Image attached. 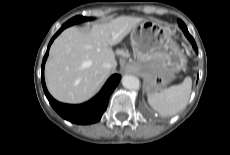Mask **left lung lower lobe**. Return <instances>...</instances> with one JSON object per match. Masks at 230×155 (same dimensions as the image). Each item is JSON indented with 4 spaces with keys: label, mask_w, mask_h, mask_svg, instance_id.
Here are the masks:
<instances>
[{
    "label": "left lung lower lobe",
    "mask_w": 230,
    "mask_h": 155,
    "mask_svg": "<svg viewBox=\"0 0 230 155\" xmlns=\"http://www.w3.org/2000/svg\"><path fill=\"white\" fill-rule=\"evenodd\" d=\"M183 32L186 35V37L188 38V40L191 42L195 52L198 54V49H197V46H196V43H195L193 37L189 34L187 29H183Z\"/></svg>",
    "instance_id": "0a47b994"
}]
</instances>
